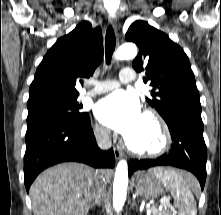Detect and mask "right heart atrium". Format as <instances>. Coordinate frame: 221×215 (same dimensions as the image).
<instances>
[{
	"label": "right heart atrium",
	"instance_id": "1",
	"mask_svg": "<svg viewBox=\"0 0 221 215\" xmlns=\"http://www.w3.org/2000/svg\"><path fill=\"white\" fill-rule=\"evenodd\" d=\"M94 135L96 138L102 142H106L109 140L110 134L107 129L102 127L101 125L96 124L93 128Z\"/></svg>",
	"mask_w": 221,
	"mask_h": 215
}]
</instances>
